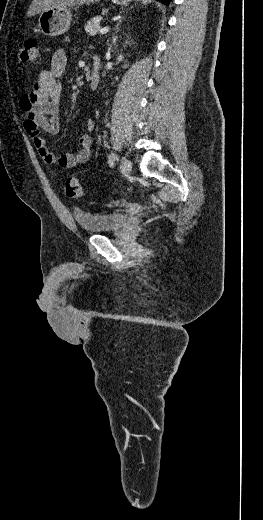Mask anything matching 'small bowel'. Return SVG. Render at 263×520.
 <instances>
[{
    "instance_id": "c3829d8e",
    "label": "small bowel",
    "mask_w": 263,
    "mask_h": 520,
    "mask_svg": "<svg viewBox=\"0 0 263 520\" xmlns=\"http://www.w3.org/2000/svg\"><path fill=\"white\" fill-rule=\"evenodd\" d=\"M68 61L64 49L57 50L51 59L50 69L40 72L38 80L32 90L23 95L20 101L21 109L25 113L23 127L31 137L40 157L48 164L69 169L78 164L88 162L93 154L91 132L94 130V122L87 120L85 132L80 135V150L77 153L55 155L47 146L45 137L41 131L56 134L60 128L59 108L62 94L60 78Z\"/></svg>"
}]
</instances>
